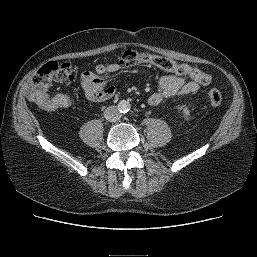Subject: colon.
<instances>
[{
    "instance_id": "5ec220e1",
    "label": "colon",
    "mask_w": 257,
    "mask_h": 257,
    "mask_svg": "<svg viewBox=\"0 0 257 257\" xmlns=\"http://www.w3.org/2000/svg\"><path fill=\"white\" fill-rule=\"evenodd\" d=\"M120 63L125 67L140 63H150L162 70L190 77L202 85H209L212 82V76L207 72L188 64L177 63L172 59L159 55L127 50L121 55ZM73 79L74 70L71 63L49 62L35 72L26 90V95L29 100L46 110H57L67 107L70 104V99L67 95L49 96L48 90L53 82L69 84ZM206 99L211 106L217 107L222 102V94L218 89L210 88L206 93Z\"/></svg>"
}]
</instances>
